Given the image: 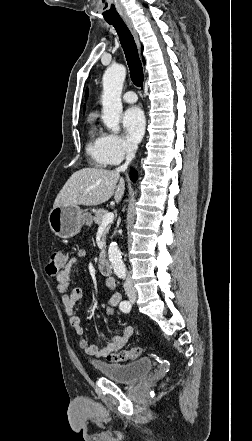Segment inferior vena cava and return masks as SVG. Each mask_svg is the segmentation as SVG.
<instances>
[{
  "label": "inferior vena cava",
  "instance_id": "obj_1",
  "mask_svg": "<svg viewBox=\"0 0 252 441\" xmlns=\"http://www.w3.org/2000/svg\"><path fill=\"white\" fill-rule=\"evenodd\" d=\"M135 156V149L133 147H128L126 150V161L123 165L119 166L118 168H116V172H125L128 168V165L130 164V162L133 160ZM124 289L125 291L129 292H133L135 293V288L134 285L132 283V280L129 276H127L125 283H124Z\"/></svg>",
  "mask_w": 252,
  "mask_h": 441
}]
</instances>
